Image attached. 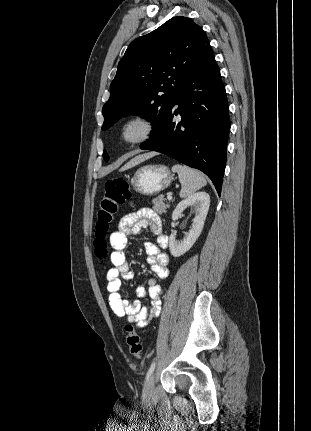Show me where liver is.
I'll use <instances>...</instances> for the list:
<instances>
[{
  "mask_svg": "<svg viewBox=\"0 0 311 431\" xmlns=\"http://www.w3.org/2000/svg\"><path fill=\"white\" fill-rule=\"evenodd\" d=\"M148 158H152V154H141V156H135V158H132L130 162H127V164L123 166L122 170H129V168H134V166H138V164H141V162H145V160H148Z\"/></svg>",
  "mask_w": 311,
  "mask_h": 431,
  "instance_id": "1",
  "label": "liver"
}]
</instances>
